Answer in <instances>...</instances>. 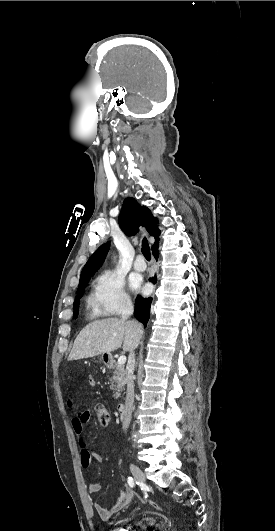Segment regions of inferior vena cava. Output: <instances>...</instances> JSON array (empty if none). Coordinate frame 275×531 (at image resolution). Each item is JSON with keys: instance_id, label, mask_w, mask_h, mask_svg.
Returning a JSON list of instances; mask_svg holds the SVG:
<instances>
[{"instance_id": "inferior-vena-cava-1", "label": "inferior vena cava", "mask_w": 275, "mask_h": 531, "mask_svg": "<svg viewBox=\"0 0 275 531\" xmlns=\"http://www.w3.org/2000/svg\"><path fill=\"white\" fill-rule=\"evenodd\" d=\"M133 305L130 301V299H126L123 307H122V319H129L130 315H133ZM129 359H128V365H127V393H126V401H125V411H124V419L122 423V429L123 431H127L130 421H131V415L133 411V403H134V369H135V353L134 349L133 351H129Z\"/></svg>"}]
</instances>
